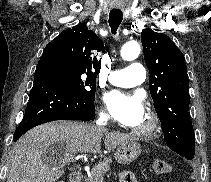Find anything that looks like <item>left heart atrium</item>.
I'll list each match as a JSON object with an SVG mask.
<instances>
[{
  "instance_id": "39dd6f15",
  "label": "left heart atrium",
  "mask_w": 211,
  "mask_h": 182,
  "mask_svg": "<svg viewBox=\"0 0 211 182\" xmlns=\"http://www.w3.org/2000/svg\"><path fill=\"white\" fill-rule=\"evenodd\" d=\"M105 103L112 117L128 127L138 126L146 115L137 94L113 90L105 95Z\"/></svg>"
}]
</instances>
